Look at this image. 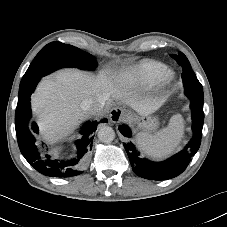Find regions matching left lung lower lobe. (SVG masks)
Returning a JSON list of instances; mask_svg holds the SVG:
<instances>
[{
    "mask_svg": "<svg viewBox=\"0 0 227 227\" xmlns=\"http://www.w3.org/2000/svg\"><path fill=\"white\" fill-rule=\"evenodd\" d=\"M190 108L192 110V131L193 136L183 150L163 162H153L146 158H141L132 142L124 144L131 166L135 174L150 180H167L181 174L188 166L191 158L198 151L204 122L203 95L189 94ZM120 132L126 136H131V131L126 125L119 127Z\"/></svg>",
    "mask_w": 227,
    "mask_h": 227,
    "instance_id": "0a47b994",
    "label": "left lung lower lobe"
}]
</instances>
